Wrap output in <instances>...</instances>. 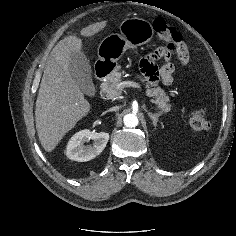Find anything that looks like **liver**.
<instances>
[{
    "label": "liver",
    "mask_w": 236,
    "mask_h": 236,
    "mask_svg": "<svg viewBox=\"0 0 236 236\" xmlns=\"http://www.w3.org/2000/svg\"><path fill=\"white\" fill-rule=\"evenodd\" d=\"M106 24V21L91 24L80 33L91 37ZM81 48V40L70 35L55 45L47 59L35 109L37 134L47 152L53 151L65 134L90 112L89 102L68 69L72 53L82 52Z\"/></svg>",
    "instance_id": "obj_1"
}]
</instances>
